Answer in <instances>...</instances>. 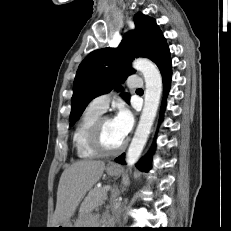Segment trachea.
Listing matches in <instances>:
<instances>
[{"mask_svg": "<svg viewBox=\"0 0 231 231\" xmlns=\"http://www.w3.org/2000/svg\"><path fill=\"white\" fill-rule=\"evenodd\" d=\"M137 91H143L142 89H137Z\"/></svg>", "mask_w": 231, "mask_h": 231, "instance_id": "1", "label": "trachea"}]
</instances>
